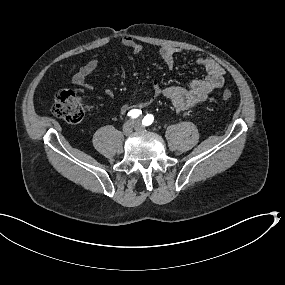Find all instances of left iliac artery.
<instances>
[{"instance_id":"1","label":"left iliac artery","mask_w":285,"mask_h":285,"mask_svg":"<svg viewBox=\"0 0 285 285\" xmlns=\"http://www.w3.org/2000/svg\"><path fill=\"white\" fill-rule=\"evenodd\" d=\"M154 121V117L152 114H147L144 119L142 120V124L145 126H149Z\"/></svg>"}]
</instances>
